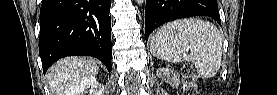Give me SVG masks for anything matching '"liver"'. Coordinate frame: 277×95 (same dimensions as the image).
<instances>
[{
    "instance_id": "6515ba94",
    "label": "liver",
    "mask_w": 277,
    "mask_h": 95,
    "mask_svg": "<svg viewBox=\"0 0 277 95\" xmlns=\"http://www.w3.org/2000/svg\"><path fill=\"white\" fill-rule=\"evenodd\" d=\"M99 67L94 59L67 57L57 61L48 71L52 95H69L77 82L95 76Z\"/></svg>"
}]
</instances>
